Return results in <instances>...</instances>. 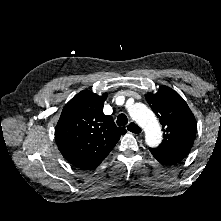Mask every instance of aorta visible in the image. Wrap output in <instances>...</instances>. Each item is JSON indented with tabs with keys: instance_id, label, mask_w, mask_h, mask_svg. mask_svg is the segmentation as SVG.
Here are the masks:
<instances>
[{
	"instance_id": "1",
	"label": "aorta",
	"mask_w": 221,
	"mask_h": 221,
	"mask_svg": "<svg viewBox=\"0 0 221 221\" xmlns=\"http://www.w3.org/2000/svg\"><path fill=\"white\" fill-rule=\"evenodd\" d=\"M128 113L144 129L146 144L157 147L161 143L162 132L155 114L142 103L129 106Z\"/></svg>"
}]
</instances>
